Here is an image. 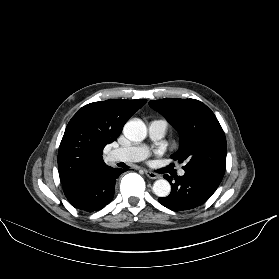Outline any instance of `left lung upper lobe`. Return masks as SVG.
<instances>
[{"label":"left lung upper lobe","mask_w":279,"mask_h":279,"mask_svg":"<svg viewBox=\"0 0 279 279\" xmlns=\"http://www.w3.org/2000/svg\"><path fill=\"white\" fill-rule=\"evenodd\" d=\"M180 133L179 150L172 155L183 169L219 185L226 167L227 144L214 113L195 99H161L149 102Z\"/></svg>","instance_id":"obj_1"}]
</instances>
